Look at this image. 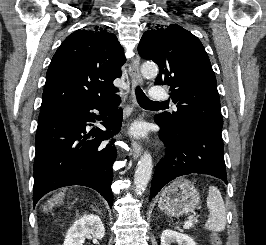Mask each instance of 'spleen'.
Segmentation results:
<instances>
[{
    "mask_svg": "<svg viewBox=\"0 0 266 245\" xmlns=\"http://www.w3.org/2000/svg\"><path fill=\"white\" fill-rule=\"evenodd\" d=\"M175 185H179V181H174V183H171L170 187H175ZM168 189L169 187H167L165 191H162V195H165ZM207 207L209 209L210 215L207 219V223H205L204 229H208V231H214V233H220V231H224L226 227V209L222 195L220 191H218L217 187H209Z\"/></svg>",
    "mask_w": 266,
    "mask_h": 245,
    "instance_id": "spleen-1",
    "label": "spleen"
}]
</instances>
